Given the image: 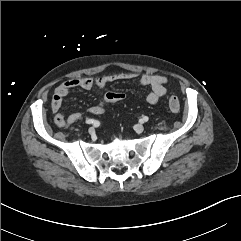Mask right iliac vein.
Here are the masks:
<instances>
[{
    "label": "right iliac vein",
    "mask_w": 241,
    "mask_h": 241,
    "mask_svg": "<svg viewBox=\"0 0 241 241\" xmlns=\"http://www.w3.org/2000/svg\"><path fill=\"white\" fill-rule=\"evenodd\" d=\"M88 132H89L90 134H94L95 129H94L93 127H90V128L88 129Z\"/></svg>",
    "instance_id": "63e3f726"
}]
</instances>
